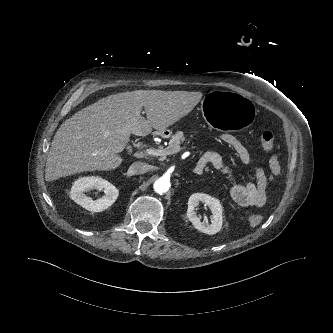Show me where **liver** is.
Returning <instances> with one entry per match:
<instances>
[{"label": "liver", "instance_id": "1", "mask_svg": "<svg viewBox=\"0 0 333 333\" xmlns=\"http://www.w3.org/2000/svg\"><path fill=\"white\" fill-rule=\"evenodd\" d=\"M201 98V92L135 90L98 100L57 130L47 157L46 180L118 168L123 162L118 153L131 134L165 130L190 113ZM143 107L146 118L141 116Z\"/></svg>", "mask_w": 333, "mask_h": 333}]
</instances>
